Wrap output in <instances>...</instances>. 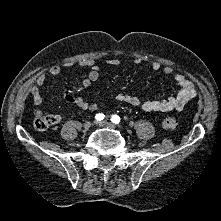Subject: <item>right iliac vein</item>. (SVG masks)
Segmentation results:
<instances>
[{
  "instance_id": "right-iliac-vein-1",
  "label": "right iliac vein",
  "mask_w": 221,
  "mask_h": 221,
  "mask_svg": "<svg viewBox=\"0 0 221 221\" xmlns=\"http://www.w3.org/2000/svg\"><path fill=\"white\" fill-rule=\"evenodd\" d=\"M91 126H92L91 122H85L83 128L85 131H88L91 128Z\"/></svg>"
}]
</instances>
